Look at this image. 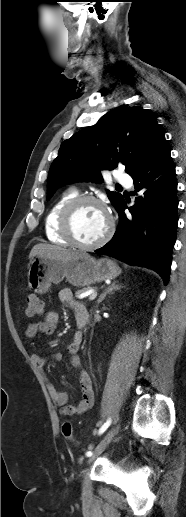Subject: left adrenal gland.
<instances>
[{
    "mask_svg": "<svg viewBox=\"0 0 186 517\" xmlns=\"http://www.w3.org/2000/svg\"><path fill=\"white\" fill-rule=\"evenodd\" d=\"M118 281H114L110 286H108L105 291L99 296L97 300V306L105 299L107 295L113 294L115 291L120 290L124 286L117 284Z\"/></svg>",
    "mask_w": 186,
    "mask_h": 517,
    "instance_id": "a2214340",
    "label": "left adrenal gland"
}]
</instances>
